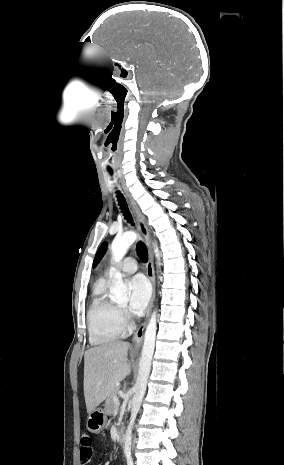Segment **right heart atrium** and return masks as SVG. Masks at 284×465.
<instances>
[{
  "mask_svg": "<svg viewBox=\"0 0 284 465\" xmlns=\"http://www.w3.org/2000/svg\"><path fill=\"white\" fill-rule=\"evenodd\" d=\"M119 313L122 316V318H127V314L124 310L119 309Z\"/></svg>",
  "mask_w": 284,
  "mask_h": 465,
  "instance_id": "1",
  "label": "right heart atrium"
}]
</instances>
